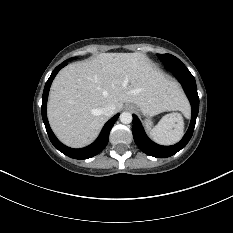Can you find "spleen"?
<instances>
[{"mask_svg": "<svg viewBox=\"0 0 233 233\" xmlns=\"http://www.w3.org/2000/svg\"><path fill=\"white\" fill-rule=\"evenodd\" d=\"M184 121L180 113L165 115L150 131L151 138L161 145L177 143L183 136Z\"/></svg>", "mask_w": 233, "mask_h": 233, "instance_id": "1", "label": "spleen"}]
</instances>
